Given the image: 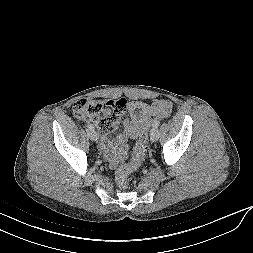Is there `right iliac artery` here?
I'll use <instances>...</instances> for the list:
<instances>
[{
	"instance_id": "obj_1",
	"label": "right iliac artery",
	"mask_w": 253,
	"mask_h": 253,
	"mask_svg": "<svg viewBox=\"0 0 253 253\" xmlns=\"http://www.w3.org/2000/svg\"><path fill=\"white\" fill-rule=\"evenodd\" d=\"M87 128H88L89 130H94V126H93L92 124H88V125H87Z\"/></svg>"
}]
</instances>
